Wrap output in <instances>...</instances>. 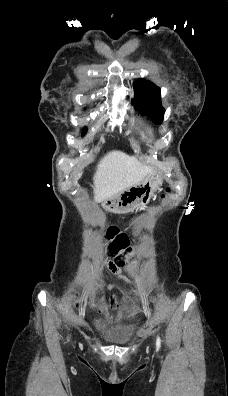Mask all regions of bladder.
I'll list each match as a JSON object with an SVG mask.
<instances>
[{
    "instance_id": "31cf9c89",
    "label": "bladder",
    "mask_w": 228,
    "mask_h": 396,
    "mask_svg": "<svg viewBox=\"0 0 228 396\" xmlns=\"http://www.w3.org/2000/svg\"><path fill=\"white\" fill-rule=\"evenodd\" d=\"M93 328L103 341L121 346L132 343L137 333L136 323H117L112 316L108 318L95 319Z\"/></svg>"
}]
</instances>
